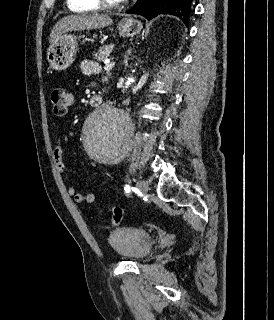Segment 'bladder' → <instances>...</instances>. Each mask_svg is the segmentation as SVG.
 I'll use <instances>...</instances> for the list:
<instances>
[{
	"mask_svg": "<svg viewBox=\"0 0 274 320\" xmlns=\"http://www.w3.org/2000/svg\"><path fill=\"white\" fill-rule=\"evenodd\" d=\"M107 241L112 251L118 257L125 260H142L152 250V237L150 233L138 228H115L109 234Z\"/></svg>",
	"mask_w": 274,
	"mask_h": 320,
	"instance_id": "1",
	"label": "bladder"
}]
</instances>
